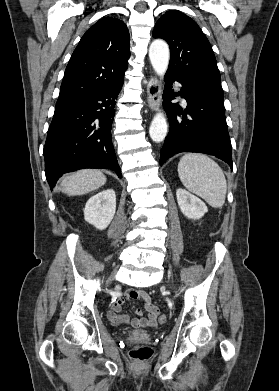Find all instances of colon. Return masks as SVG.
Masks as SVG:
<instances>
[{
    "label": "colon",
    "instance_id": "obj_1",
    "mask_svg": "<svg viewBox=\"0 0 279 391\" xmlns=\"http://www.w3.org/2000/svg\"><path fill=\"white\" fill-rule=\"evenodd\" d=\"M167 320L165 315H161L159 317V321L161 323H165ZM152 349L147 346H141V347H136L130 351V356L132 359L138 361V362H144L148 360L152 356Z\"/></svg>",
    "mask_w": 279,
    "mask_h": 391
}]
</instances>
